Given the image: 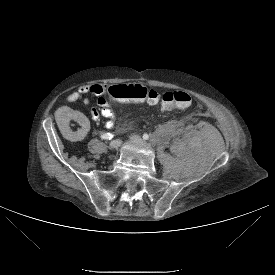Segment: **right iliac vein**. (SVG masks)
Here are the masks:
<instances>
[{
    "label": "right iliac vein",
    "mask_w": 275,
    "mask_h": 275,
    "mask_svg": "<svg viewBox=\"0 0 275 275\" xmlns=\"http://www.w3.org/2000/svg\"><path fill=\"white\" fill-rule=\"evenodd\" d=\"M121 145V141L119 139L112 140L109 144L110 150H117Z\"/></svg>",
    "instance_id": "obj_1"
}]
</instances>
